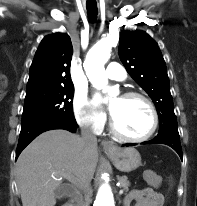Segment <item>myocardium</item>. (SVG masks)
I'll list each match as a JSON object with an SVG mask.
<instances>
[{
    "mask_svg": "<svg viewBox=\"0 0 197 206\" xmlns=\"http://www.w3.org/2000/svg\"><path fill=\"white\" fill-rule=\"evenodd\" d=\"M122 98H138L143 100L148 107L150 108V111L152 113V126L150 128V130L143 136H139V137H133V136H129L125 133H123L116 125L115 120L112 116V114L110 115V129L112 131V133L123 140L126 141H132V142H143L148 140L149 138H151L154 133L156 132L158 125H159V115H158V111L156 109V106L154 105L153 101L146 96L143 93L137 92V91H127L125 93H123L121 95Z\"/></svg>",
    "mask_w": 197,
    "mask_h": 206,
    "instance_id": "obj_1",
    "label": "myocardium"
}]
</instances>
